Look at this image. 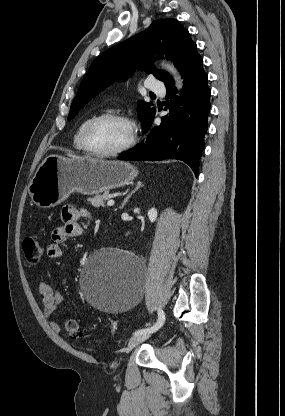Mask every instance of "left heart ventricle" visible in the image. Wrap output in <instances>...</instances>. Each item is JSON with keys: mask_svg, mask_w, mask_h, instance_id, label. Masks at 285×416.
<instances>
[{"mask_svg": "<svg viewBox=\"0 0 285 416\" xmlns=\"http://www.w3.org/2000/svg\"><path fill=\"white\" fill-rule=\"evenodd\" d=\"M91 146L102 151H110L120 148L128 138L125 125L113 120L103 119L94 123L88 132Z\"/></svg>", "mask_w": 285, "mask_h": 416, "instance_id": "left-heart-ventricle-1", "label": "left heart ventricle"}]
</instances>
